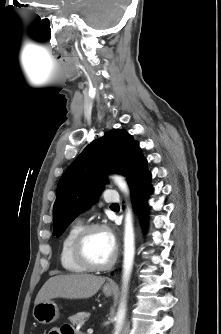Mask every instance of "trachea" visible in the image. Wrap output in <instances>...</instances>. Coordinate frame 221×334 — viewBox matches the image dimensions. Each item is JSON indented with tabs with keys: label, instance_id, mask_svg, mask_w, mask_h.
I'll use <instances>...</instances> for the list:
<instances>
[{
	"label": "trachea",
	"instance_id": "1",
	"mask_svg": "<svg viewBox=\"0 0 221 334\" xmlns=\"http://www.w3.org/2000/svg\"><path fill=\"white\" fill-rule=\"evenodd\" d=\"M111 206H118V204H117V203H114V204H112Z\"/></svg>",
	"mask_w": 221,
	"mask_h": 334
}]
</instances>
